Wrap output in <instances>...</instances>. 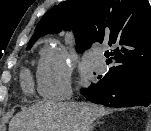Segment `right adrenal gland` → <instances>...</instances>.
Instances as JSON below:
<instances>
[{"label": "right adrenal gland", "instance_id": "obj_1", "mask_svg": "<svg viewBox=\"0 0 151 131\" xmlns=\"http://www.w3.org/2000/svg\"><path fill=\"white\" fill-rule=\"evenodd\" d=\"M101 123H102V122H98L97 124H101ZM97 124H94V125H93V128H94Z\"/></svg>", "mask_w": 151, "mask_h": 131}]
</instances>
